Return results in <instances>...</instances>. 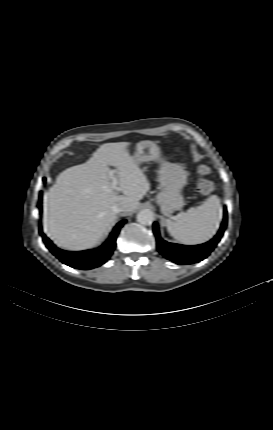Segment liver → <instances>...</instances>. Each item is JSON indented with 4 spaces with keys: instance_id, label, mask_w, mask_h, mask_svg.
<instances>
[{
    "instance_id": "6515ba94",
    "label": "liver",
    "mask_w": 273,
    "mask_h": 430,
    "mask_svg": "<svg viewBox=\"0 0 273 430\" xmlns=\"http://www.w3.org/2000/svg\"><path fill=\"white\" fill-rule=\"evenodd\" d=\"M129 142L105 143L85 163L64 170L44 198L43 229L58 246L68 250L93 247L106 234L116 214L112 206L134 211L150 189L146 175L128 151ZM116 168L118 195L110 181Z\"/></svg>"
}]
</instances>
